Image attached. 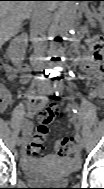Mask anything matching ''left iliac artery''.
<instances>
[{
	"label": "left iliac artery",
	"mask_w": 104,
	"mask_h": 189,
	"mask_svg": "<svg viewBox=\"0 0 104 189\" xmlns=\"http://www.w3.org/2000/svg\"><path fill=\"white\" fill-rule=\"evenodd\" d=\"M56 96H61L62 95V89H58L55 92ZM72 111H73V120L76 122V125H73L75 133H82V130L80 128V122H79V109L77 106H72Z\"/></svg>",
	"instance_id": "left-iliac-artery-1"
}]
</instances>
